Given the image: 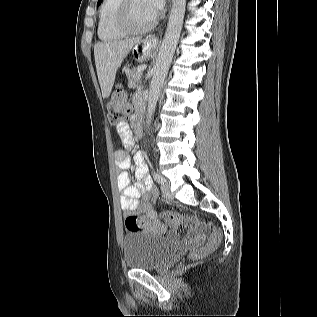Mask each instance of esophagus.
I'll list each match as a JSON object with an SVG mask.
<instances>
[{"label":"esophagus","instance_id":"34e87169","mask_svg":"<svg viewBox=\"0 0 317 317\" xmlns=\"http://www.w3.org/2000/svg\"><path fill=\"white\" fill-rule=\"evenodd\" d=\"M147 41H155L156 40V38H155V36H153V35H150L149 37H147V39H146Z\"/></svg>","mask_w":317,"mask_h":317}]
</instances>
